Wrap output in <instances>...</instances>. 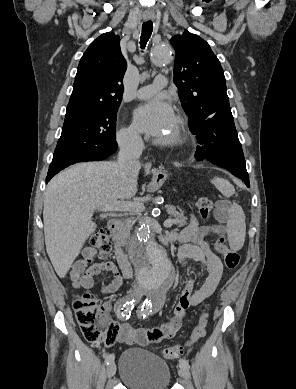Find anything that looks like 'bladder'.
Instances as JSON below:
<instances>
[{"label": "bladder", "mask_w": 296, "mask_h": 389, "mask_svg": "<svg viewBox=\"0 0 296 389\" xmlns=\"http://www.w3.org/2000/svg\"><path fill=\"white\" fill-rule=\"evenodd\" d=\"M119 376L129 389H168L171 381L168 364L140 348H130L121 354Z\"/></svg>", "instance_id": "1"}]
</instances>
